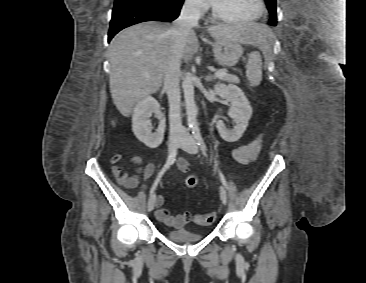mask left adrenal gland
I'll list each match as a JSON object with an SVG mask.
<instances>
[{"instance_id":"a2214340","label":"left adrenal gland","mask_w":366,"mask_h":283,"mask_svg":"<svg viewBox=\"0 0 366 283\" xmlns=\"http://www.w3.org/2000/svg\"><path fill=\"white\" fill-rule=\"evenodd\" d=\"M216 76L215 75H208L206 76L205 80L208 82V81H211L212 79H215Z\"/></svg>"}]
</instances>
